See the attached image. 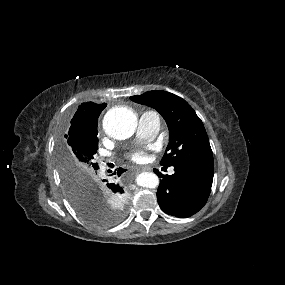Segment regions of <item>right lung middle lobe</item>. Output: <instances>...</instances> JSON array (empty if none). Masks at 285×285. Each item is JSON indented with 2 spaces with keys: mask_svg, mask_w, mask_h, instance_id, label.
<instances>
[{
  "mask_svg": "<svg viewBox=\"0 0 285 285\" xmlns=\"http://www.w3.org/2000/svg\"><path fill=\"white\" fill-rule=\"evenodd\" d=\"M97 149V138L70 146L61 140L58 142L57 165L74 210L93 225L109 226L124 212L126 199L119 195L115 197L98 180V165L94 161Z\"/></svg>",
  "mask_w": 285,
  "mask_h": 285,
  "instance_id": "dd1d6c3e",
  "label": "right lung middle lobe"
}]
</instances>
